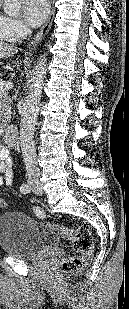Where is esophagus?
I'll list each match as a JSON object with an SVG mask.
<instances>
[{"label":"esophagus","mask_w":129,"mask_h":309,"mask_svg":"<svg viewBox=\"0 0 129 309\" xmlns=\"http://www.w3.org/2000/svg\"><path fill=\"white\" fill-rule=\"evenodd\" d=\"M54 14H55V8L52 7L50 15L46 21V23L41 27V29L38 31V33L35 35V37L33 38V40L29 43L28 45V52L29 54H31V52L35 49V46L45 37V35L49 32L51 26H52V22H53V18H54Z\"/></svg>","instance_id":"obj_1"}]
</instances>
